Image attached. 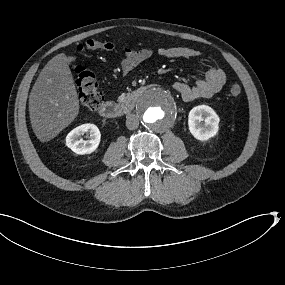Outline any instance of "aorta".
<instances>
[{
    "label": "aorta",
    "mask_w": 285,
    "mask_h": 285,
    "mask_svg": "<svg viewBox=\"0 0 285 285\" xmlns=\"http://www.w3.org/2000/svg\"><path fill=\"white\" fill-rule=\"evenodd\" d=\"M133 111L140 126L155 134L172 129L180 114L174 94L159 85L142 89L134 100Z\"/></svg>",
    "instance_id": "762f6f07"
}]
</instances>
